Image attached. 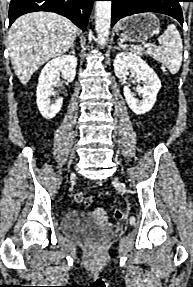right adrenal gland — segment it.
<instances>
[{
	"mask_svg": "<svg viewBox=\"0 0 193 287\" xmlns=\"http://www.w3.org/2000/svg\"><path fill=\"white\" fill-rule=\"evenodd\" d=\"M71 53L75 54L74 44L71 45Z\"/></svg>",
	"mask_w": 193,
	"mask_h": 287,
	"instance_id": "2a0ac1e0",
	"label": "right adrenal gland"
}]
</instances>
